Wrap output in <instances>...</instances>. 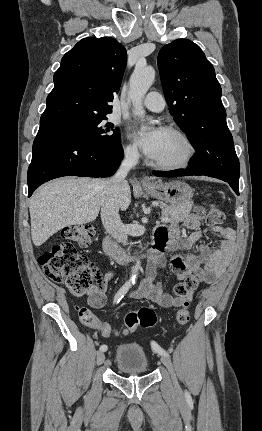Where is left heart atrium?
<instances>
[{
	"instance_id": "1",
	"label": "left heart atrium",
	"mask_w": 262,
	"mask_h": 431,
	"mask_svg": "<svg viewBox=\"0 0 262 431\" xmlns=\"http://www.w3.org/2000/svg\"><path fill=\"white\" fill-rule=\"evenodd\" d=\"M164 132L162 128H155L150 131L137 129L134 131L133 137L143 153L154 159L159 152Z\"/></svg>"
}]
</instances>
